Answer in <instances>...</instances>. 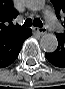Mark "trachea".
Instances as JSON below:
<instances>
[{
	"instance_id": "1",
	"label": "trachea",
	"mask_w": 65,
	"mask_h": 89,
	"mask_svg": "<svg viewBox=\"0 0 65 89\" xmlns=\"http://www.w3.org/2000/svg\"><path fill=\"white\" fill-rule=\"evenodd\" d=\"M32 25L39 28L43 27V23L39 18L34 19L33 22L31 19H26V21L23 24V27H31Z\"/></svg>"
}]
</instances>
